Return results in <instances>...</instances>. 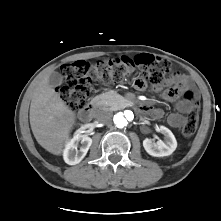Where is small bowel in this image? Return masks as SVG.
Returning <instances> with one entry per match:
<instances>
[{"label": "small bowel", "instance_id": "obj_1", "mask_svg": "<svg viewBox=\"0 0 221 221\" xmlns=\"http://www.w3.org/2000/svg\"><path fill=\"white\" fill-rule=\"evenodd\" d=\"M140 80H137L138 84ZM179 87V88H178ZM190 87V81L186 75L181 72L174 73L168 81L165 89L157 87L155 91L160 94L164 100L174 102L177 113H172L168 116V123L174 128H180L185 124V115L191 110V103L186 99L181 98L183 92ZM153 117L162 116V111L153 107H145L144 109Z\"/></svg>", "mask_w": 221, "mask_h": 221}]
</instances>
